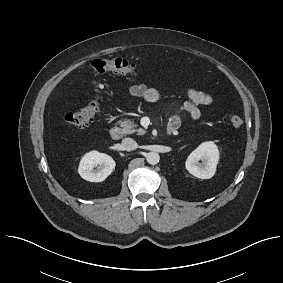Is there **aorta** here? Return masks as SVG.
<instances>
[{"label":"aorta","mask_w":283,"mask_h":283,"mask_svg":"<svg viewBox=\"0 0 283 283\" xmlns=\"http://www.w3.org/2000/svg\"><path fill=\"white\" fill-rule=\"evenodd\" d=\"M146 160L149 164L156 165L160 160V156L157 152H149L146 155Z\"/></svg>","instance_id":"obj_1"}]
</instances>
